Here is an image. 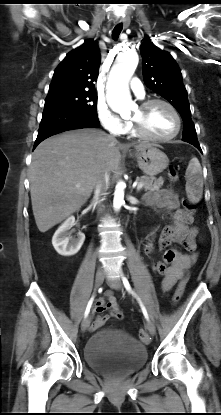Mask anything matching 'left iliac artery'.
Returning a JSON list of instances; mask_svg holds the SVG:
<instances>
[{"label": "left iliac artery", "mask_w": 221, "mask_h": 415, "mask_svg": "<svg viewBox=\"0 0 221 415\" xmlns=\"http://www.w3.org/2000/svg\"><path fill=\"white\" fill-rule=\"evenodd\" d=\"M122 281H123V284H124V287L126 288V290H127L130 294H132L134 297H136V299L138 300V302H139V304H140V306H141V309H142V312H143V314H144L145 318L148 320V319H149V316H148L147 310H146V308L144 307L143 303L141 302L140 298H139V297L136 295V293L132 290V288H131V285H130L129 281L127 280V278H126V277H122Z\"/></svg>", "instance_id": "44dca946"}]
</instances>
